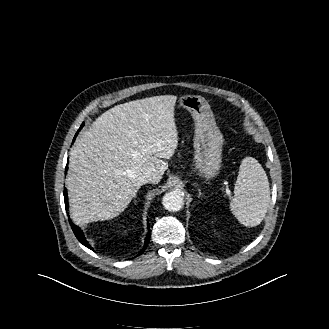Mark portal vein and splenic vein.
Masks as SVG:
<instances>
[{"mask_svg": "<svg viewBox=\"0 0 329 329\" xmlns=\"http://www.w3.org/2000/svg\"><path fill=\"white\" fill-rule=\"evenodd\" d=\"M227 195H230V190L226 189Z\"/></svg>", "mask_w": 329, "mask_h": 329, "instance_id": "portal-vein-and-splenic-vein-1", "label": "portal vein and splenic vein"}]
</instances>
